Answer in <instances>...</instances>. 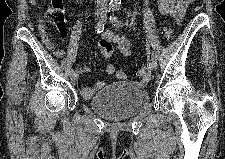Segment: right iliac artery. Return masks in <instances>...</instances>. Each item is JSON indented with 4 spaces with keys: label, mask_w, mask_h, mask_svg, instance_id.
I'll use <instances>...</instances> for the list:
<instances>
[{
    "label": "right iliac artery",
    "mask_w": 225,
    "mask_h": 159,
    "mask_svg": "<svg viewBox=\"0 0 225 159\" xmlns=\"http://www.w3.org/2000/svg\"><path fill=\"white\" fill-rule=\"evenodd\" d=\"M113 10L112 6H108L104 9L103 14L101 16V19L98 21L96 27H95V32H97L98 34L103 32L104 30V25L106 23V19H107V15L108 13H111ZM73 69H71L70 74L73 73Z\"/></svg>",
    "instance_id": "obj_1"
}]
</instances>
